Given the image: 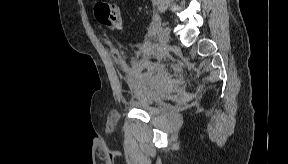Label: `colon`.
<instances>
[{"mask_svg": "<svg viewBox=\"0 0 288 164\" xmlns=\"http://www.w3.org/2000/svg\"><path fill=\"white\" fill-rule=\"evenodd\" d=\"M96 16L100 24L112 31H120L123 28V20L117 5L99 4Z\"/></svg>", "mask_w": 288, "mask_h": 164, "instance_id": "colon-1", "label": "colon"}]
</instances>
